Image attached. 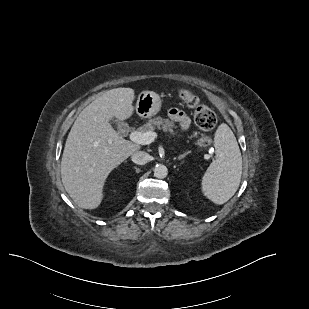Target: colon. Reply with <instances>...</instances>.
<instances>
[{
	"mask_svg": "<svg viewBox=\"0 0 309 309\" xmlns=\"http://www.w3.org/2000/svg\"><path fill=\"white\" fill-rule=\"evenodd\" d=\"M182 101L193 110L195 124L203 131L212 130L217 124L216 114L208 106L202 104L198 96L189 90H181L179 93ZM211 144V138L203 135L198 140V145L207 147Z\"/></svg>",
	"mask_w": 309,
	"mask_h": 309,
	"instance_id": "1",
	"label": "colon"
}]
</instances>
